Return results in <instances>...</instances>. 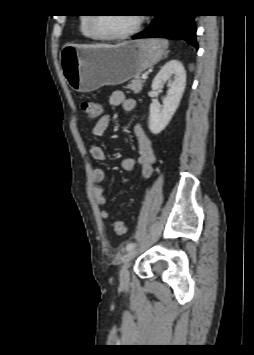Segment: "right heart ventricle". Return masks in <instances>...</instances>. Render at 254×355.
<instances>
[{
  "label": "right heart ventricle",
  "mask_w": 254,
  "mask_h": 355,
  "mask_svg": "<svg viewBox=\"0 0 254 355\" xmlns=\"http://www.w3.org/2000/svg\"><path fill=\"white\" fill-rule=\"evenodd\" d=\"M89 19L90 17L87 15H84L80 18V32L86 39L96 40V37H94L90 31Z\"/></svg>",
  "instance_id": "e07e8e85"
}]
</instances>
